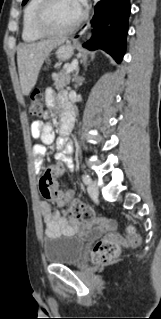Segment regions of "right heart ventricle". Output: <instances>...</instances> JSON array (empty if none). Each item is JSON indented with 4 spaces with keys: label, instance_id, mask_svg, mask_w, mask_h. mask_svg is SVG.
<instances>
[{
    "label": "right heart ventricle",
    "instance_id": "obj_1",
    "mask_svg": "<svg viewBox=\"0 0 161 319\" xmlns=\"http://www.w3.org/2000/svg\"><path fill=\"white\" fill-rule=\"evenodd\" d=\"M42 0H29L23 13L22 39L26 42L36 41L42 38L33 26L36 11Z\"/></svg>",
    "mask_w": 161,
    "mask_h": 319
}]
</instances>
